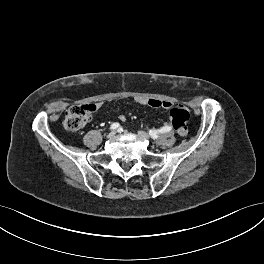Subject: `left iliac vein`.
<instances>
[{
  "label": "left iliac vein",
  "instance_id": "left-iliac-vein-1",
  "mask_svg": "<svg viewBox=\"0 0 264 264\" xmlns=\"http://www.w3.org/2000/svg\"><path fill=\"white\" fill-rule=\"evenodd\" d=\"M138 135L142 138L149 139V135L146 132L139 131Z\"/></svg>",
  "mask_w": 264,
  "mask_h": 264
}]
</instances>
